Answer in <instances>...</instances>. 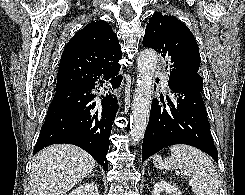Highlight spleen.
I'll return each instance as SVG.
<instances>
[{"instance_id": "spleen-1", "label": "spleen", "mask_w": 245, "mask_h": 195, "mask_svg": "<svg viewBox=\"0 0 245 195\" xmlns=\"http://www.w3.org/2000/svg\"><path fill=\"white\" fill-rule=\"evenodd\" d=\"M171 156L162 160L160 155L153 157L156 168L179 170L189 177V184L195 195H217L219 179L215 167L204 152L187 145L170 147Z\"/></svg>"}]
</instances>
